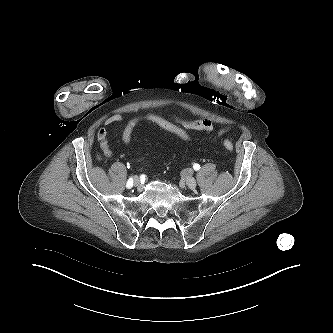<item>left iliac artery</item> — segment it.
Instances as JSON below:
<instances>
[{
  "label": "left iliac artery",
  "instance_id": "44dca946",
  "mask_svg": "<svg viewBox=\"0 0 333 333\" xmlns=\"http://www.w3.org/2000/svg\"><path fill=\"white\" fill-rule=\"evenodd\" d=\"M193 168H194V170H199V169H200V165L197 164V163H195V164L193 165Z\"/></svg>",
  "mask_w": 333,
  "mask_h": 333
}]
</instances>
